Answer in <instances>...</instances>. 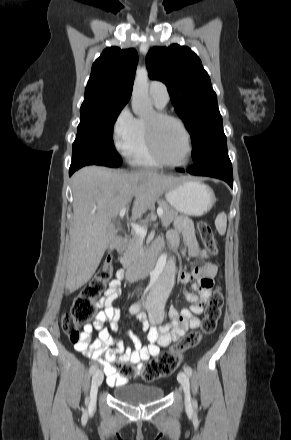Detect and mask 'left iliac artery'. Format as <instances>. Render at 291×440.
<instances>
[{
	"label": "left iliac artery",
	"instance_id": "obj_1",
	"mask_svg": "<svg viewBox=\"0 0 291 440\" xmlns=\"http://www.w3.org/2000/svg\"><path fill=\"white\" fill-rule=\"evenodd\" d=\"M184 371L189 375V376H191L192 375V368L189 366V365H186L185 367H184Z\"/></svg>",
	"mask_w": 291,
	"mask_h": 440
}]
</instances>
